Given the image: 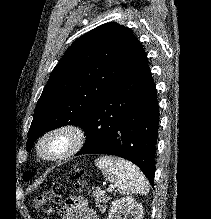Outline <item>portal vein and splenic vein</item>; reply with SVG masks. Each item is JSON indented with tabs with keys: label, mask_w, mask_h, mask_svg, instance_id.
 <instances>
[{
	"label": "portal vein and splenic vein",
	"mask_w": 211,
	"mask_h": 219,
	"mask_svg": "<svg viewBox=\"0 0 211 219\" xmlns=\"http://www.w3.org/2000/svg\"><path fill=\"white\" fill-rule=\"evenodd\" d=\"M108 191L111 192L112 188H108ZM101 193H104V191H101Z\"/></svg>",
	"instance_id": "1"
}]
</instances>
